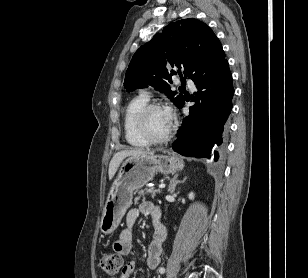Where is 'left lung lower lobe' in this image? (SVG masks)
Masks as SVG:
<instances>
[{
    "mask_svg": "<svg viewBox=\"0 0 308 278\" xmlns=\"http://www.w3.org/2000/svg\"><path fill=\"white\" fill-rule=\"evenodd\" d=\"M196 101L184 118L178 139L172 144L177 153L196 158H219L226 143L228 117L232 109L234 88L227 59L203 78L194 81ZM184 103L179 107L181 108Z\"/></svg>",
    "mask_w": 308,
    "mask_h": 278,
    "instance_id": "0a47b994",
    "label": "left lung lower lobe"
}]
</instances>
